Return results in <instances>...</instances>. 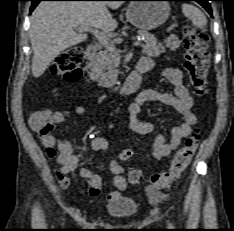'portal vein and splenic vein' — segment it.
<instances>
[{"mask_svg": "<svg viewBox=\"0 0 234 231\" xmlns=\"http://www.w3.org/2000/svg\"><path fill=\"white\" fill-rule=\"evenodd\" d=\"M81 31H90L93 32L95 37L98 39V41L105 47L109 49H114L115 45L114 42L111 40V37L107 35L106 33H103L98 30H94L88 26H83L80 28ZM141 42L139 40H136L133 42L134 46H139Z\"/></svg>", "mask_w": 234, "mask_h": 231, "instance_id": "1", "label": "portal vein and splenic vein"}]
</instances>
